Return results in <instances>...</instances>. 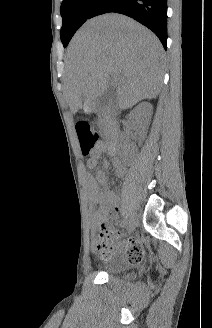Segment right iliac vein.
<instances>
[{"instance_id":"obj_1","label":"right iliac vein","mask_w":212,"mask_h":328,"mask_svg":"<svg viewBox=\"0 0 212 328\" xmlns=\"http://www.w3.org/2000/svg\"><path fill=\"white\" fill-rule=\"evenodd\" d=\"M135 227H136V218L135 216H132L128 224V231L132 232L135 229Z\"/></svg>"}]
</instances>
